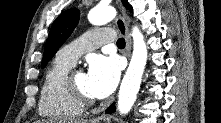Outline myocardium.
Instances as JSON below:
<instances>
[{
	"label": "myocardium",
	"instance_id": "myocardium-1",
	"mask_svg": "<svg viewBox=\"0 0 221 123\" xmlns=\"http://www.w3.org/2000/svg\"><path fill=\"white\" fill-rule=\"evenodd\" d=\"M74 71H69L65 78V86L70 96L82 107H90L96 103V99L84 94L74 82Z\"/></svg>",
	"mask_w": 221,
	"mask_h": 123
}]
</instances>
